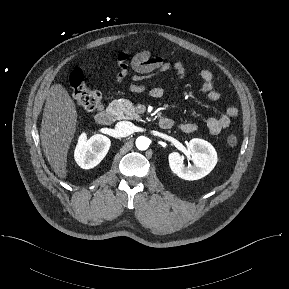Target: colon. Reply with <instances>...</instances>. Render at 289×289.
<instances>
[{
  "label": "colon",
  "instance_id": "5ec220e1",
  "mask_svg": "<svg viewBox=\"0 0 289 289\" xmlns=\"http://www.w3.org/2000/svg\"><path fill=\"white\" fill-rule=\"evenodd\" d=\"M69 86L72 97L82 108L88 111H96L102 108V96L98 91L89 89L84 81L83 73L74 70L69 77ZM238 143L235 135L227 137V144L234 148Z\"/></svg>",
  "mask_w": 289,
  "mask_h": 289
}]
</instances>
